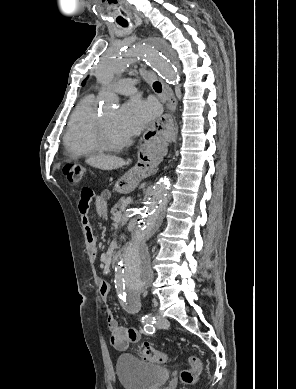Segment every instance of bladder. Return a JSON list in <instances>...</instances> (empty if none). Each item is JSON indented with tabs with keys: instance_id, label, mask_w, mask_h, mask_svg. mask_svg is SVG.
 I'll return each instance as SVG.
<instances>
[{
	"instance_id": "31cf9c89",
	"label": "bladder",
	"mask_w": 296,
	"mask_h": 389,
	"mask_svg": "<svg viewBox=\"0 0 296 389\" xmlns=\"http://www.w3.org/2000/svg\"><path fill=\"white\" fill-rule=\"evenodd\" d=\"M116 372L123 389H159L169 378L167 368L144 362L131 354L118 357Z\"/></svg>"
}]
</instances>
